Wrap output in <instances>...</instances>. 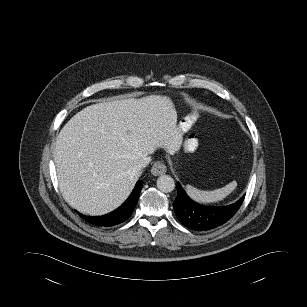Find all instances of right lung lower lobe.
<instances>
[{"label":"right lung lower lobe","instance_id":"1","mask_svg":"<svg viewBox=\"0 0 307 307\" xmlns=\"http://www.w3.org/2000/svg\"><path fill=\"white\" fill-rule=\"evenodd\" d=\"M142 185H143L142 181H138L131 195L124 202V204L120 206L118 209H116L115 211L107 215L90 217V216H85L79 212L77 213L85 221L97 227H110V226L120 224L126 221L131 216L137 204Z\"/></svg>","mask_w":307,"mask_h":307}]
</instances>
